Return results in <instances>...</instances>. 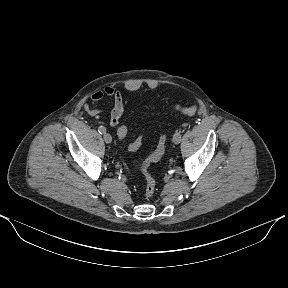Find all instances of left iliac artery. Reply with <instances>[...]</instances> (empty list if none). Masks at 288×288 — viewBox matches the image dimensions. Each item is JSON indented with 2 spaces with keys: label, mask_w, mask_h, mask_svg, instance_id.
Segmentation results:
<instances>
[{
  "label": "left iliac artery",
  "mask_w": 288,
  "mask_h": 288,
  "mask_svg": "<svg viewBox=\"0 0 288 288\" xmlns=\"http://www.w3.org/2000/svg\"><path fill=\"white\" fill-rule=\"evenodd\" d=\"M177 135L178 136H183L184 135V129L182 127L177 130Z\"/></svg>",
  "instance_id": "44dca946"
}]
</instances>
